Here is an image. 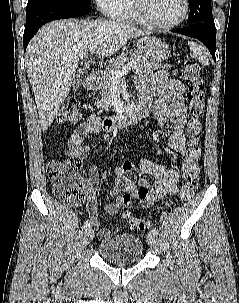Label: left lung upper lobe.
I'll use <instances>...</instances> for the list:
<instances>
[{
    "label": "left lung upper lobe",
    "mask_w": 239,
    "mask_h": 303,
    "mask_svg": "<svg viewBox=\"0 0 239 303\" xmlns=\"http://www.w3.org/2000/svg\"><path fill=\"white\" fill-rule=\"evenodd\" d=\"M188 2L190 6L188 25L214 21L211 0H188Z\"/></svg>",
    "instance_id": "left-lung-upper-lobe-1"
}]
</instances>
